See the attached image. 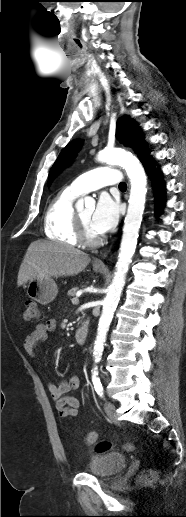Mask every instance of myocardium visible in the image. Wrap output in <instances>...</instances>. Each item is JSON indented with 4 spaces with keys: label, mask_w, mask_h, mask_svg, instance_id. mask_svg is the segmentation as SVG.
<instances>
[{
    "label": "myocardium",
    "mask_w": 186,
    "mask_h": 517,
    "mask_svg": "<svg viewBox=\"0 0 186 517\" xmlns=\"http://www.w3.org/2000/svg\"><path fill=\"white\" fill-rule=\"evenodd\" d=\"M76 226H77V238L78 241L84 245L87 246H96L101 243L102 238L101 236L92 235L87 230L83 220L81 219V216L77 213L76 214Z\"/></svg>",
    "instance_id": "1"
}]
</instances>
